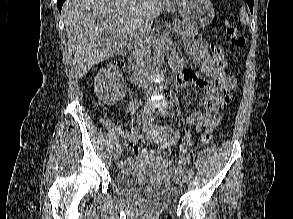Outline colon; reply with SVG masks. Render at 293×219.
<instances>
[{
    "instance_id": "5ec220e1",
    "label": "colon",
    "mask_w": 293,
    "mask_h": 219,
    "mask_svg": "<svg viewBox=\"0 0 293 219\" xmlns=\"http://www.w3.org/2000/svg\"><path fill=\"white\" fill-rule=\"evenodd\" d=\"M225 31L228 36L229 43L234 48H242L245 45V39L242 34L239 32L238 28L232 21H226L225 23ZM212 55L214 61L218 64V66L225 70L227 67V62L224 56V52L219 46H212ZM114 64L119 67H124V62L122 60H116ZM213 137V128H206L201 136V142L203 146L209 144ZM176 144V141L167 134L165 140L160 143L158 147V152L163 157H168L171 154V147Z\"/></svg>"
}]
</instances>
